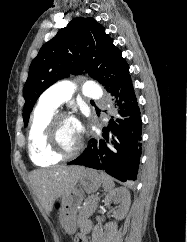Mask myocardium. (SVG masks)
Masks as SVG:
<instances>
[{
	"label": "myocardium",
	"instance_id": "obj_1",
	"mask_svg": "<svg viewBox=\"0 0 187 242\" xmlns=\"http://www.w3.org/2000/svg\"><path fill=\"white\" fill-rule=\"evenodd\" d=\"M62 120H72V117L65 112H55L51 116L44 130V144L47 151L51 155L56 156L60 159H68L76 156L81 151L83 147V140L81 136H79V141L76 147L71 151L64 152L60 150L56 146L55 132H56L58 123L61 122Z\"/></svg>",
	"mask_w": 187,
	"mask_h": 242
}]
</instances>
